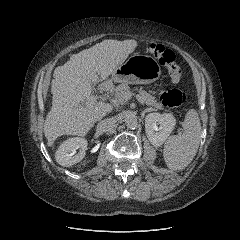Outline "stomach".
Masks as SVG:
<instances>
[{
  "instance_id": "stomach-1",
  "label": "stomach",
  "mask_w": 240,
  "mask_h": 240,
  "mask_svg": "<svg viewBox=\"0 0 240 240\" xmlns=\"http://www.w3.org/2000/svg\"><path fill=\"white\" fill-rule=\"evenodd\" d=\"M161 68L155 58L133 54L112 73L115 82L127 84H149L159 79Z\"/></svg>"
}]
</instances>
